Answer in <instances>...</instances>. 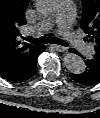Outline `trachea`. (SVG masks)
Returning a JSON list of instances; mask_svg holds the SVG:
<instances>
[{
	"instance_id": "3493384b",
	"label": "trachea",
	"mask_w": 100,
	"mask_h": 118,
	"mask_svg": "<svg viewBox=\"0 0 100 118\" xmlns=\"http://www.w3.org/2000/svg\"><path fill=\"white\" fill-rule=\"evenodd\" d=\"M29 42H31L32 44H38V45H42V44H46V43H53V44H57V45H61V46H68V43L59 39V38H55V37H40L38 39H30Z\"/></svg>"
}]
</instances>
